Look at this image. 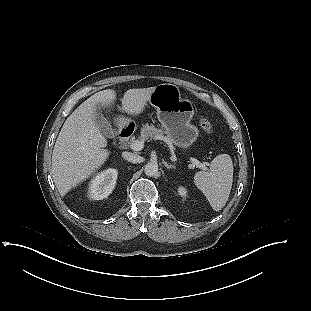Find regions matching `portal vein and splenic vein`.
Listing matches in <instances>:
<instances>
[{
	"label": "portal vein and splenic vein",
	"instance_id": "portal-vein-and-splenic-vein-1",
	"mask_svg": "<svg viewBox=\"0 0 311 311\" xmlns=\"http://www.w3.org/2000/svg\"><path fill=\"white\" fill-rule=\"evenodd\" d=\"M130 148L134 151H141L144 148V141L139 140L133 141L132 143H130ZM192 161L197 167L203 170H207L205 163H200L198 160L195 159H192Z\"/></svg>",
	"mask_w": 311,
	"mask_h": 311
}]
</instances>
